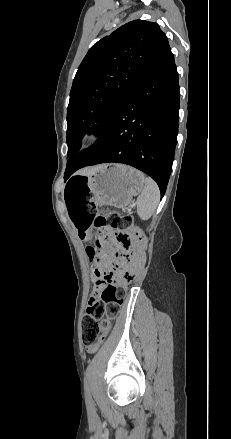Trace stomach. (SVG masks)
<instances>
[{
	"instance_id": "obj_1",
	"label": "stomach",
	"mask_w": 231,
	"mask_h": 439,
	"mask_svg": "<svg viewBox=\"0 0 231 439\" xmlns=\"http://www.w3.org/2000/svg\"><path fill=\"white\" fill-rule=\"evenodd\" d=\"M86 189L93 194L92 200L99 206L117 208L128 206L133 196L144 187L145 177L140 171L121 164H107L90 175L83 176Z\"/></svg>"
}]
</instances>
